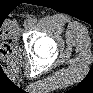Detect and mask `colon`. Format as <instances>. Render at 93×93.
Segmentation results:
<instances>
[{"mask_svg":"<svg viewBox=\"0 0 93 93\" xmlns=\"http://www.w3.org/2000/svg\"><path fill=\"white\" fill-rule=\"evenodd\" d=\"M14 32L12 28L4 26L1 31L0 50L3 57H8L11 54L13 46Z\"/></svg>","mask_w":93,"mask_h":93,"instance_id":"colon-1","label":"colon"}]
</instances>
